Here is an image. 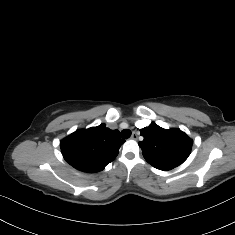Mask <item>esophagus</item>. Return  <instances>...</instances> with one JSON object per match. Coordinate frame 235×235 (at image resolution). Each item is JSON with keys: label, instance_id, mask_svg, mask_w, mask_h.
Returning <instances> with one entry per match:
<instances>
[{"label": "esophagus", "instance_id": "obj_1", "mask_svg": "<svg viewBox=\"0 0 235 235\" xmlns=\"http://www.w3.org/2000/svg\"><path fill=\"white\" fill-rule=\"evenodd\" d=\"M131 139H134V140L138 139V135H137V133L135 131L132 133Z\"/></svg>", "mask_w": 235, "mask_h": 235}]
</instances>
